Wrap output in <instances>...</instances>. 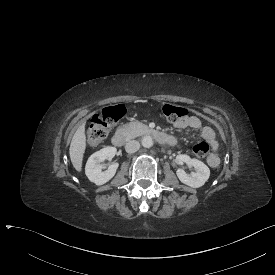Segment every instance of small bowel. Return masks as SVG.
I'll use <instances>...</instances> for the list:
<instances>
[{"mask_svg": "<svg viewBox=\"0 0 275 275\" xmlns=\"http://www.w3.org/2000/svg\"><path fill=\"white\" fill-rule=\"evenodd\" d=\"M174 125L178 129H192V130H200L201 137L209 142L212 148V154L208 158V164L211 167H216L219 164V156L217 153L218 142L215 139V133L210 127H203L202 122L199 117L195 115H191L185 119L178 120L174 122Z\"/></svg>", "mask_w": 275, "mask_h": 275, "instance_id": "small-bowel-1", "label": "small bowel"}]
</instances>
